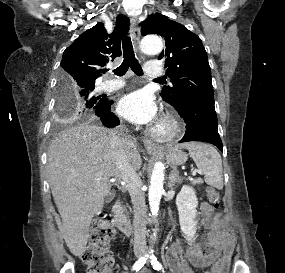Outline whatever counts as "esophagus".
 Listing matches in <instances>:
<instances>
[{
  "mask_svg": "<svg viewBox=\"0 0 285 273\" xmlns=\"http://www.w3.org/2000/svg\"><path fill=\"white\" fill-rule=\"evenodd\" d=\"M130 24H131L132 37H133L134 43H135V48L137 51H139L140 28L138 26L137 20L134 18H132L130 20ZM143 144H144V147L147 151H149V152L156 151V145L151 140L144 139Z\"/></svg>",
  "mask_w": 285,
  "mask_h": 273,
  "instance_id": "obj_1",
  "label": "esophagus"
}]
</instances>
